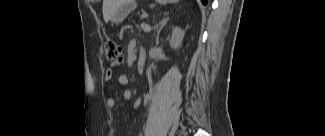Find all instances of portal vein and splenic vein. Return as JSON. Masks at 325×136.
Returning a JSON list of instances; mask_svg holds the SVG:
<instances>
[{
    "mask_svg": "<svg viewBox=\"0 0 325 136\" xmlns=\"http://www.w3.org/2000/svg\"><path fill=\"white\" fill-rule=\"evenodd\" d=\"M141 28H148V25L146 23H141Z\"/></svg>",
    "mask_w": 325,
    "mask_h": 136,
    "instance_id": "portal-vein-and-splenic-vein-1",
    "label": "portal vein and splenic vein"
}]
</instances>
